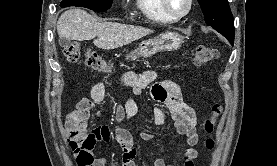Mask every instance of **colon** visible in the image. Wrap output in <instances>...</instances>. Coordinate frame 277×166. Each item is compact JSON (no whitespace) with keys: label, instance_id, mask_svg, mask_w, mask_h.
<instances>
[{"label":"colon","instance_id":"1","mask_svg":"<svg viewBox=\"0 0 277 166\" xmlns=\"http://www.w3.org/2000/svg\"><path fill=\"white\" fill-rule=\"evenodd\" d=\"M81 47L78 43L72 42L64 47V55L69 63H75L81 57ZM219 57V51L217 48L210 45L198 46L193 51V63L195 66L205 65ZM85 64L99 72H110L111 63L103 59L97 52L93 50L85 51ZM223 113V106L221 103H215L212 107L210 117L204 123V129L207 133L205 140V146L208 150H212L216 146V139L214 132L216 130L217 122ZM81 116H78L71 124L67 125L68 141L76 154L77 163L79 166H85L91 161V159L85 155L80 154L81 145L85 141L87 135L86 126L80 120Z\"/></svg>","mask_w":277,"mask_h":166}]
</instances>
